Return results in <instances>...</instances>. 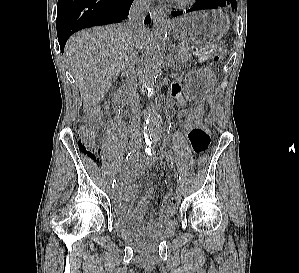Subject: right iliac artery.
I'll list each match as a JSON object with an SVG mask.
<instances>
[{
    "mask_svg": "<svg viewBox=\"0 0 299 273\" xmlns=\"http://www.w3.org/2000/svg\"><path fill=\"white\" fill-rule=\"evenodd\" d=\"M138 156H139V151L138 150L130 151L128 153V155L126 156V160L131 161V160H134L135 158H137ZM115 183H116V180L114 179L112 187L115 186Z\"/></svg>",
    "mask_w": 299,
    "mask_h": 273,
    "instance_id": "1",
    "label": "right iliac artery"
}]
</instances>
